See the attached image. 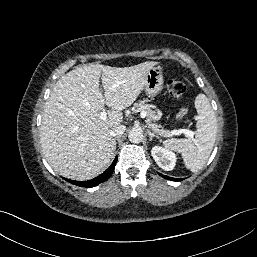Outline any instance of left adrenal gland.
<instances>
[{"mask_svg": "<svg viewBox=\"0 0 257 257\" xmlns=\"http://www.w3.org/2000/svg\"><path fill=\"white\" fill-rule=\"evenodd\" d=\"M147 133L149 135V141H151L153 137L160 139L158 135H156L155 133H152L149 129H147Z\"/></svg>", "mask_w": 257, "mask_h": 257, "instance_id": "a2214340", "label": "left adrenal gland"}]
</instances>
